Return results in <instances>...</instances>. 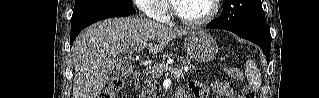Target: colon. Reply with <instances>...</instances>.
Masks as SVG:
<instances>
[{"label":"colon","mask_w":319,"mask_h":98,"mask_svg":"<svg viewBox=\"0 0 319 98\" xmlns=\"http://www.w3.org/2000/svg\"><path fill=\"white\" fill-rule=\"evenodd\" d=\"M226 71L233 79L240 80L242 78V74L238 70L229 68ZM123 86L124 82L121 78H113L110 80L107 88L101 93L100 97L117 98ZM243 98H254L253 91L248 87H244Z\"/></svg>","instance_id":"1"}]
</instances>
